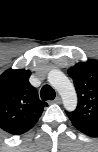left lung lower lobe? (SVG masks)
Listing matches in <instances>:
<instances>
[{
    "label": "left lung lower lobe",
    "mask_w": 98,
    "mask_h": 152,
    "mask_svg": "<svg viewBox=\"0 0 98 152\" xmlns=\"http://www.w3.org/2000/svg\"><path fill=\"white\" fill-rule=\"evenodd\" d=\"M79 131L82 133L92 136V137H97L98 136V128L86 126V125H80V124H73Z\"/></svg>",
    "instance_id": "0a47b994"
}]
</instances>
